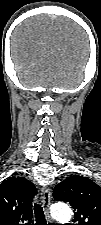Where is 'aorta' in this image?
Instances as JSON below:
<instances>
[{
	"label": "aorta",
	"instance_id": "1",
	"mask_svg": "<svg viewBox=\"0 0 101 225\" xmlns=\"http://www.w3.org/2000/svg\"><path fill=\"white\" fill-rule=\"evenodd\" d=\"M51 215L62 224L67 223L72 218V210L66 204H55L51 208Z\"/></svg>",
	"mask_w": 101,
	"mask_h": 225
}]
</instances>
